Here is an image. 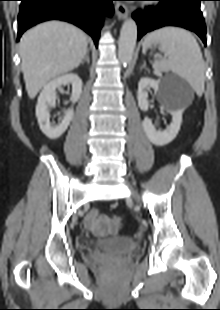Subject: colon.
<instances>
[{
  "label": "colon",
  "instance_id": "colon-1",
  "mask_svg": "<svg viewBox=\"0 0 220 310\" xmlns=\"http://www.w3.org/2000/svg\"><path fill=\"white\" fill-rule=\"evenodd\" d=\"M122 220L120 217H113L112 221L110 222V227L112 230H117L121 227Z\"/></svg>",
  "mask_w": 220,
  "mask_h": 310
}]
</instances>
